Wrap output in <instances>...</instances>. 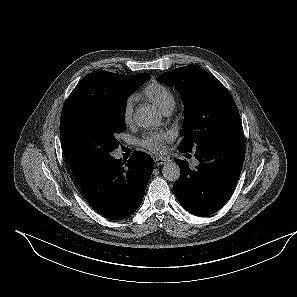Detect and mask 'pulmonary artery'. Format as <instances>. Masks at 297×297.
<instances>
[{
    "instance_id": "pulmonary-artery-1",
    "label": "pulmonary artery",
    "mask_w": 297,
    "mask_h": 297,
    "mask_svg": "<svg viewBox=\"0 0 297 297\" xmlns=\"http://www.w3.org/2000/svg\"><path fill=\"white\" fill-rule=\"evenodd\" d=\"M172 109H173V108H168V109H166L165 111H163V113H164L165 115H169V114L172 112Z\"/></svg>"
}]
</instances>
